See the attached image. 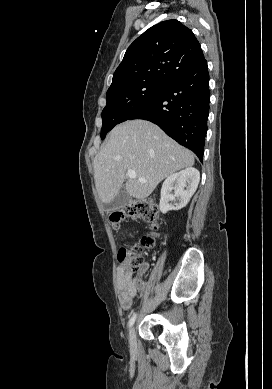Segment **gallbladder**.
<instances>
[{
  "label": "gallbladder",
  "mask_w": 272,
  "mask_h": 389,
  "mask_svg": "<svg viewBox=\"0 0 272 389\" xmlns=\"http://www.w3.org/2000/svg\"><path fill=\"white\" fill-rule=\"evenodd\" d=\"M131 201V196L127 193L125 187H122L118 194L108 203H105L107 211L120 210Z\"/></svg>",
  "instance_id": "bac80fb5"
}]
</instances>
